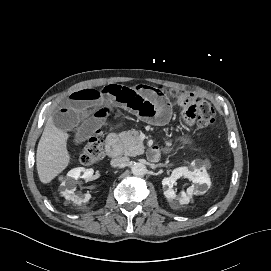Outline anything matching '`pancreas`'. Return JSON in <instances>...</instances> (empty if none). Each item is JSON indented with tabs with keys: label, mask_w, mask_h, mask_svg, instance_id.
I'll list each match as a JSON object with an SVG mask.
<instances>
[{
	"label": "pancreas",
	"mask_w": 271,
	"mask_h": 271,
	"mask_svg": "<svg viewBox=\"0 0 271 271\" xmlns=\"http://www.w3.org/2000/svg\"><path fill=\"white\" fill-rule=\"evenodd\" d=\"M119 137L123 145L122 153L125 156H136L144 152L143 142L136 131L122 132Z\"/></svg>",
	"instance_id": "obj_1"
}]
</instances>
